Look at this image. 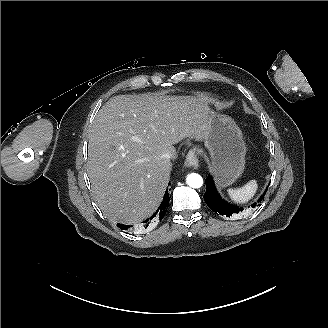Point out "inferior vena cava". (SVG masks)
Wrapping results in <instances>:
<instances>
[{
	"mask_svg": "<svg viewBox=\"0 0 328 328\" xmlns=\"http://www.w3.org/2000/svg\"><path fill=\"white\" fill-rule=\"evenodd\" d=\"M163 157L170 159V155L169 154H164Z\"/></svg>",
	"mask_w": 328,
	"mask_h": 328,
	"instance_id": "obj_1",
	"label": "inferior vena cava"
}]
</instances>
